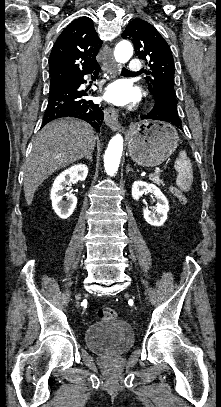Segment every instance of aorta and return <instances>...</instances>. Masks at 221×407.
<instances>
[{
    "mask_svg": "<svg viewBox=\"0 0 221 407\" xmlns=\"http://www.w3.org/2000/svg\"><path fill=\"white\" fill-rule=\"evenodd\" d=\"M133 54V47L129 41H120L114 51L115 60L118 63L127 62ZM123 151V138L120 134L115 135L109 142L104 155L105 171L108 175L113 176L119 167Z\"/></svg>",
    "mask_w": 221,
    "mask_h": 407,
    "instance_id": "762f6f07",
    "label": "aorta"
}]
</instances>
